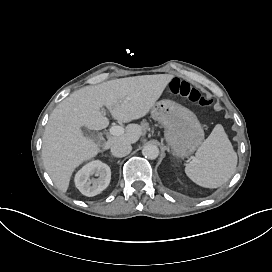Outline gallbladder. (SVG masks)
Masks as SVG:
<instances>
[{"label": "gallbladder", "instance_id": "1", "mask_svg": "<svg viewBox=\"0 0 272 272\" xmlns=\"http://www.w3.org/2000/svg\"><path fill=\"white\" fill-rule=\"evenodd\" d=\"M87 136L91 139H94L96 141H99V137L97 135H95L94 133H89L87 134Z\"/></svg>", "mask_w": 272, "mask_h": 272}]
</instances>
